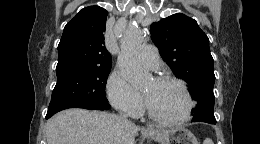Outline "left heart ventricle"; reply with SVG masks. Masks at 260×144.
Returning <instances> with one entry per match:
<instances>
[{
  "label": "left heart ventricle",
  "instance_id": "obj_1",
  "mask_svg": "<svg viewBox=\"0 0 260 144\" xmlns=\"http://www.w3.org/2000/svg\"><path fill=\"white\" fill-rule=\"evenodd\" d=\"M143 94L151 108L166 118L179 119L187 111L188 102L185 94L176 84H158L152 80L143 88Z\"/></svg>",
  "mask_w": 260,
  "mask_h": 144
}]
</instances>
